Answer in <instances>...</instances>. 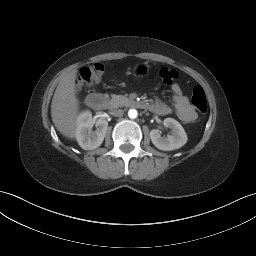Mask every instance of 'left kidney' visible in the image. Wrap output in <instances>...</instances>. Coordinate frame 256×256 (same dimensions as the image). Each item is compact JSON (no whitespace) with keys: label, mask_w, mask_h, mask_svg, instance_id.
Instances as JSON below:
<instances>
[{"label":"left kidney","mask_w":256,"mask_h":256,"mask_svg":"<svg viewBox=\"0 0 256 256\" xmlns=\"http://www.w3.org/2000/svg\"><path fill=\"white\" fill-rule=\"evenodd\" d=\"M163 124L165 127L171 129V134L162 137L158 130H152L150 132V138L156 148L159 150L171 151L179 149L186 144L188 140L187 134L177 120L166 118L164 119Z\"/></svg>","instance_id":"5707ae66"}]
</instances>
